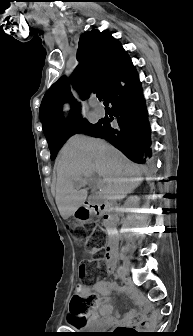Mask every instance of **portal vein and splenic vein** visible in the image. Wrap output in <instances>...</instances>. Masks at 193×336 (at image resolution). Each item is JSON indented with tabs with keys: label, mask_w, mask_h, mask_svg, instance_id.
Returning a JSON list of instances; mask_svg holds the SVG:
<instances>
[{
	"label": "portal vein and splenic vein",
	"mask_w": 193,
	"mask_h": 336,
	"mask_svg": "<svg viewBox=\"0 0 193 336\" xmlns=\"http://www.w3.org/2000/svg\"><path fill=\"white\" fill-rule=\"evenodd\" d=\"M82 182H83V183H86V181H85V180H82Z\"/></svg>",
	"instance_id": "obj_1"
}]
</instances>
